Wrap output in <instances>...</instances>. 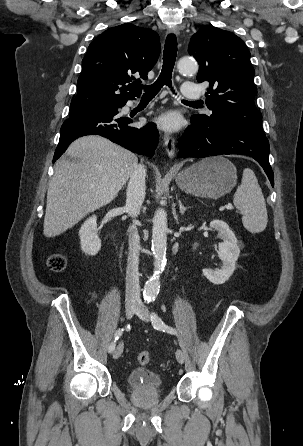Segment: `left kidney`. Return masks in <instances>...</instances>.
Here are the masks:
<instances>
[{
	"mask_svg": "<svg viewBox=\"0 0 303 446\" xmlns=\"http://www.w3.org/2000/svg\"><path fill=\"white\" fill-rule=\"evenodd\" d=\"M211 228L218 231V236L222 239L219 243L218 256L222 261L221 269H203L204 276L214 284L225 283L233 274L235 264L240 254L238 241L233 231L222 220H213Z\"/></svg>",
	"mask_w": 303,
	"mask_h": 446,
	"instance_id": "obj_1",
	"label": "left kidney"
}]
</instances>
